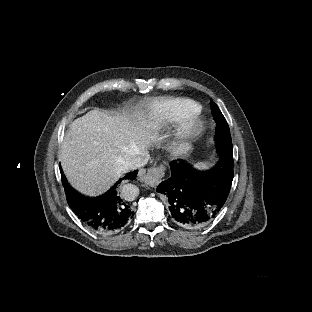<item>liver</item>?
<instances>
[{"mask_svg":"<svg viewBox=\"0 0 312 312\" xmlns=\"http://www.w3.org/2000/svg\"><path fill=\"white\" fill-rule=\"evenodd\" d=\"M153 131L150 119L96 109L71 123L58 159L75 188L99 194L127 171L126 162L146 155Z\"/></svg>","mask_w":312,"mask_h":312,"instance_id":"6515ba94","label":"liver"}]
</instances>
